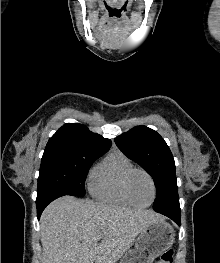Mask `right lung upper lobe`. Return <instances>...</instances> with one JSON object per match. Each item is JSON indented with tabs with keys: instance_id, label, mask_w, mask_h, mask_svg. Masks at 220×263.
I'll use <instances>...</instances> for the list:
<instances>
[{
	"instance_id": "1",
	"label": "right lung upper lobe",
	"mask_w": 220,
	"mask_h": 263,
	"mask_svg": "<svg viewBox=\"0 0 220 263\" xmlns=\"http://www.w3.org/2000/svg\"><path fill=\"white\" fill-rule=\"evenodd\" d=\"M111 145L110 139L91 132L82 124L66 123L50 138L45 151L71 150L103 155Z\"/></svg>"
}]
</instances>
